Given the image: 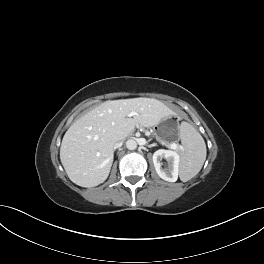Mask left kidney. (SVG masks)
<instances>
[{
  "label": "left kidney",
  "instance_id": "left-kidney-1",
  "mask_svg": "<svg viewBox=\"0 0 264 264\" xmlns=\"http://www.w3.org/2000/svg\"><path fill=\"white\" fill-rule=\"evenodd\" d=\"M165 158L168 168H162L161 160ZM180 156L176 151L159 149L153 154L155 170L160 178L168 182H176L179 174Z\"/></svg>",
  "mask_w": 264,
  "mask_h": 264
}]
</instances>
